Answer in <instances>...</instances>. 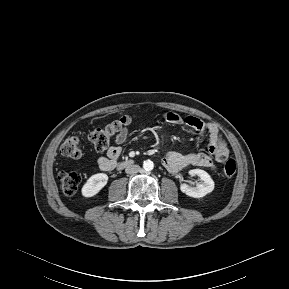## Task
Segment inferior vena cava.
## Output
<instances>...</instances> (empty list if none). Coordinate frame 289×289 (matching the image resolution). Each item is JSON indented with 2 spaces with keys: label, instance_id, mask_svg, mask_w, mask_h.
I'll return each mask as SVG.
<instances>
[{
  "label": "inferior vena cava",
  "instance_id": "inferior-vena-cava-1",
  "mask_svg": "<svg viewBox=\"0 0 289 289\" xmlns=\"http://www.w3.org/2000/svg\"><path fill=\"white\" fill-rule=\"evenodd\" d=\"M141 171V168L139 165H130L125 169V172L127 174H136Z\"/></svg>",
  "mask_w": 289,
  "mask_h": 289
}]
</instances>
